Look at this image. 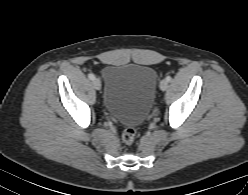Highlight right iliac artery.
I'll return each mask as SVG.
<instances>
[{"mask_svg":"<svg viewBox=\"0 0 248 195\" xmlns=\"http://www.w3.org/2000/svg\"><path fill=\"white\" fill-rule=\"evenodd\" d=\"M88 78H89L90 80H94V79H95V75H94V74H89V75H88Z\"/></svg>","mask_w":248,"mask_h":195,"instance_id":"obj_1","label":"right iliac artery"}]
</instances>
